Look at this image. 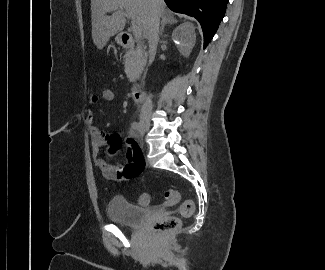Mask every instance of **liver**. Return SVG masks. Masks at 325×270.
Masks as SVG:
<instances>
[{
    "instance_id": "1",
    "label": "liver",
    "mask_w": 325,
    "mask_h": 270,
    "mask_svg": "<svg viewBox=\"0 0 325 270\" xmlns=\"http://www.w3.org/2000/svg\"><path fill=\"white\" fill-rule=\"evenodd\" d=\"M119 10L107 16L110 8ZM163 0H91L92 39L97 48L102 49L109 38L121 32L129 14L140 28L144 38H148L150 21L154 13H166Z\"/></svg>"
}]
</instances>
